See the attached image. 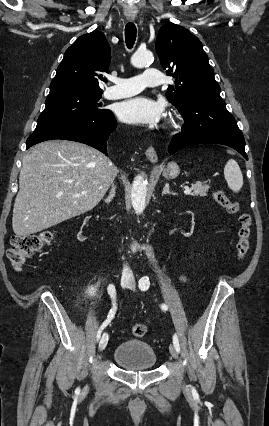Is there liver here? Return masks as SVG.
Returning <instances> with one entry per match:
<instances>
[{"label":"liver","mask_w":269,"mask_h":426,"mask_svg":"<svg viewBox=\"0 0 269 426\" xmlns=\"http://www.w3.org/2000/svg\"><path fill=\"white\" fill-rule=\"evenodd\" d=\"M117 173L108 157L83 143L51 140L35 145L22 161L14 233L34 234L92 210Z\"/></svg>","instance_id":"6515ba94"}]
</instances>
